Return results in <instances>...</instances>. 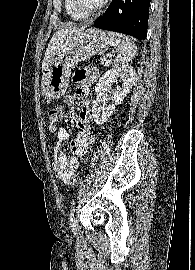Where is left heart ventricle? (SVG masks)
Wrapping results in <instances>:
<instances>
[{
	"label": "left heart ventricle",
	"mask_w": 195,
	"mask_h": 270,
	"mask_svg": "<svg viewBox=\"0 0 195 270\" xmlns=\"http://www.w3.org/2000/svg\"><path fill=\"white\" fill-rule=\"evenodd\" d=\"M78 1L81 7L86 10L95 8L101 2V0H78Z\"/></svg>",
	"instance_id": "b2bd125f"
}]
</instances>
